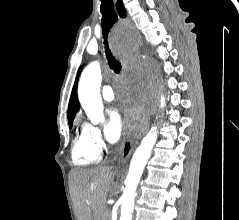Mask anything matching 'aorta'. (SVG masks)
<instances>
[{
	"label": "aorta",
	"instance_id": "762f6f07",
	"mask_svg": "<svg viewBox=\"0 0 239 220\" xmlns=\"http://www.w3.org/2000/svg\"><path fill=\"white\" fill-rule=\"evenodd\" d=\"M116 40H136V33H117ZM135 46V45H117ZM101 69L98 62H92L83 71L79 86V101L85 110L88 118L93 124H98L103 118V104L100 95ZM165 106V98L161 96L160 107ZM157 126L142 139L141 144L136 149L129 167V172L125 179V189L121 197L120 220H132L136 189L141 180L145 166L151 156L152 149L157 141Z\"/></svg>",
	"mask_w": 239,
	"mask_h": 220
}]
</instances>
